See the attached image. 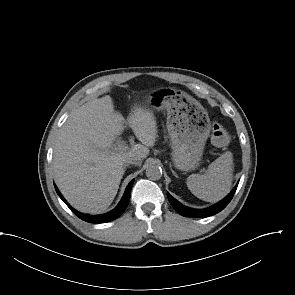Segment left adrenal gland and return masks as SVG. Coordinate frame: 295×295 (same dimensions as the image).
Here are the masks:
<instances>
[{
  "label": "left adrenal gland",
  "mask_w": 295,
  "mask_h": 295,
  "mask_svg": "<svg viewBox=\"0 0 295 295\" xmlns=\"http://www.w3.org/2000/svg\"><path fill=\"white\" fill-rule=\"evenodd\" d=\"M171 171H172L173 175H174L176 178H178L177 174L174 172V170H172V168H171Z\"/></svg>",
  "instance_id": "left-adrenal-gland-1"
}]
</instances>
